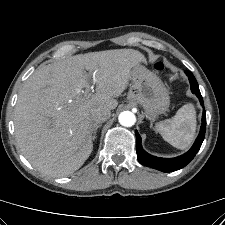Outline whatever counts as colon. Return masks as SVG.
I'll use <instances>...</instances> for the list:
<instances>
[{
	"mask_svg": "<svg viewBox=\"0 0 225 225\" xmlns=\"http://www.w3.org/2000/svg\"><path fill=\"white\" fill-rule=\"evenodd\" d=\"M155 67H156L157 69H159V70H160V69H162V67H163V66H162V64H161V63H157V64L155 65Z\"/></svg>",
	"mask_w": 225,
	"mask_h": 225,
	"instance_id": "obj_1",
	"label": "colon"
}]
</instances>
